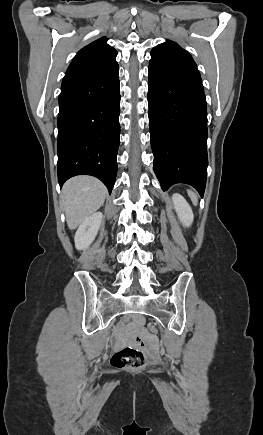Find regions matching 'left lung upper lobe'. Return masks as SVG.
Listing matches in <instances>:
<instances>
[{"label":"left lung upper lobe","instance_id":"left-lung-upper-lobe-1","mask_svg":"<svg viewBox=\"0 0 263 435\" xmlns=\"http://www.w3.org/2000/svg\"><path fill=\"white\" fill-rule=\"evenodd\" d=\"M151 56V61L170 71L201 79L191 55L175 42L167 41L157 45L152 49Z\"/></svg>","mask_w":263,"mask_h":435}]
</instances>
